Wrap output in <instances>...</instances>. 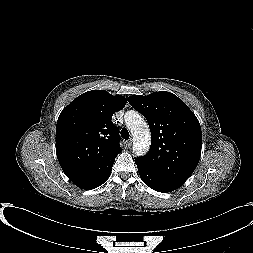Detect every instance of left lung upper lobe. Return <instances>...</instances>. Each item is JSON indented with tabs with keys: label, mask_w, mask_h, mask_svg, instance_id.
Returning <instances> with one entry per match:
<instances>
[{
	"label": "left lung upper lobe",
	"mask_w": 253,
	"mask_h": 253,
	"mask_svg": "<svg viewBox=\"0 0 253 253\" xmlns=\"http://www.w3.org/2000/svg\"><path fill=\"white\" fill-rule=\"evenodd\" d=\"M128 102L147 119L151 131L150 150L137 159L150 171L183 185L201 155L198 119L181 99L166 91L133 95Z\"/></svg>",
	"instance_id": "1"
}]
</instances>
